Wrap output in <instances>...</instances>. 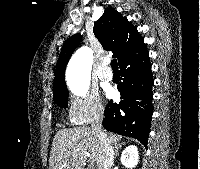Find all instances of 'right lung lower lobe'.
Segmentation results:
<instances>
[{
  "label": "right lung lower lobe",
  "instance_id": "1",
  "mask_svg": "<svg viewBox=\"0 0 200 169\" xmlns=\"http://www.w3.org/2000/svg\"><path fill=\"white\" fill-rule=\"evenodd\" d=\"M119 67L123 82L117 88L121 100L109 101L102 124L109 131L138 139L146 147L153 114V76L148 51Z\"/></svg>",
  "mask_w": 200,
  "mask_h": 169
}]
</instances>
